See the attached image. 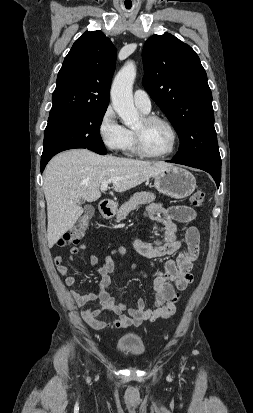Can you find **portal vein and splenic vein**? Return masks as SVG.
I'll use <instances>...</instances> for the list:
<instances>
[{
	"label": "portal vein and splenic vein",
	"mask_w": 253,
	"mask_h": 413,
	"mask_svg": "<svg viewBox=\"0 0 253 413\" xmlns=\"http://www.w3.org/2000/svg\"><path fill=\"white\" fill-rule=\"evenodd\" d=\"M117 180L116 179H110V180H108V181H106V182H103L102 184H101V189L103 190V191H106L107 189H108V184L109 183H114V182H116Z\"/></svg>",
	"instance_id": "obj_1"
}]
</instances>
